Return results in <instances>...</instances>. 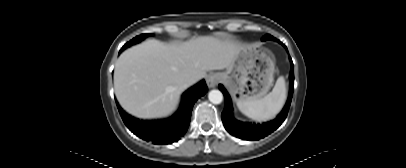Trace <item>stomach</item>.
I'll return each instance as SVG.
<instances>
[{
	"label": "stomach",
	"mask_w": 406,
	"mask_h": 168,
	"mask_svg": "<svg viewBox=\"0 0 406 168\" xmlns=\"http://www.w3.org/2000/svg\"><path fill=\"white\" fill-rule=\"evenodd\" d=\"M274 72L275 62L270 53L257 46H246L220 77L238 103L262 99L273 85Z\"/></svg>",
	"instance_id": "obj_1"
}]
</instances>
